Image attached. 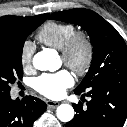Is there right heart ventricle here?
<instances>
[{"label":"right heart ventricle","mask_w":127,"mask_h":127,"mask_svg":"<svg viewBox=\"0 0 127 127\" xmlns=\"http://www.w3.org/2000/svg\"><path fill=\"white\" fill-rule=\"evenodd\" d=\"M75 32L76 27L71 23L49 21L38 30L37 38L44 45L62 50L65 43Z\"/></svg>","instance_id":"e07e8e85"}]
</instances>
